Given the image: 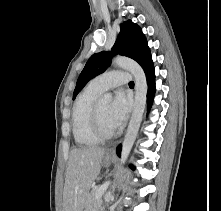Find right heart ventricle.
<instances>
[{
    "label": "right heart ventricle",
    "mask_w": 221,
    "mask_h": 211,
    "mask_svg": "<svg viewBox=\"0 0 221 211\" xmlns=\"http://www.w3.org/2000/svg\"><path fill=\"white\" fill-rule=\"evenodd\" d=\"M101 93L100 90L88 84L75 101L72 110V133L79 146L90 147L100 142L92 130L91 112Z\"/></svg>",
    "instance_id": "right-heart-ventricle-1"
}]
</instances>
